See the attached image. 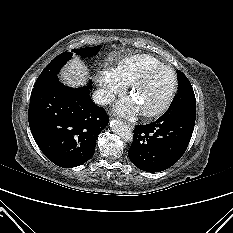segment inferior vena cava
I'll return each instance as SVG.
<instances>
[{
  "label": "inferior vena cava",
  "mask_w": 233,
  "mask_h": 233,
  "mask_svg": "<svg viewBox=\"0 0 233 233\" xmlns=\"http://www.w3.org/2000/svg\"><path fill=\"white\" fill-rule=\"evenodd\" d=\"M92 98L96 104L107 105L114 100V95L109 91L98 89L93 93Z\"/></svg>",
  "instance_id": "obj_1"
}]
</instances>
